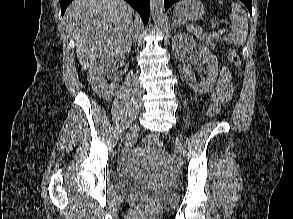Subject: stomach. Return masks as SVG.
Listing matches in <instances>:
<instances>
[{
	"label": "stomach",
	"mask_w": 293,
	"mask_h": 219,
	"mask_svg": "<svg viewBox=\"0 0 293 219\" xmlns=\"http://www.w3.org/2000/svg\"><path fill=\"white\" fill-rule=\"evenodd\" d=\"M204 12V5L199 0H182L174 9V15L183 21H197Z\"/></svg>",
	"instance_id": "1"
}]
</instances>
